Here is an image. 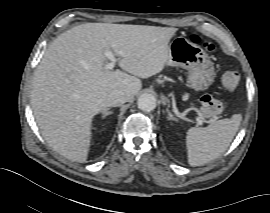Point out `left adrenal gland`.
Returning a JSON list of instances; mask_svg holds the SVG:
<instances>
[{"label":"left adrenal gland","instance_id":"left-adrenal-gland-1","mask_svg":"<svg viewBox=\"0 0 270 213\" xmlns=\"http://www.w3.org/2000/svg\"><path fill=\"white\" fill-rule=\"evenodd\" d=\"M167 112H168V119L169 120H175V121H177V119L173 117V115L170 113L169 110H167Z\"/></svg>","mask_w":270,"mask_h":213}]
</instances>
